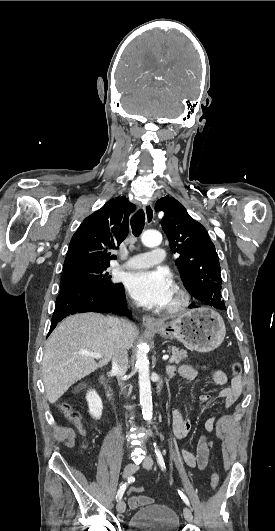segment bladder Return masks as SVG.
<instances>
[{"instance_id": "obj_1", "label": "bladder", "mask_w": 275, "mask_h": 531, "mask_svg": "<svg viewBox=\"0 0 275 531\" xmlns=\"http://www.w3.org/2000/svg\"><path fill=\"white\" fill-rule=\"evenodd\" d=\"M131 520L130 531H178L180 525L174 510L159 503L137 510Z\"/></svg>"}]
</instances>
